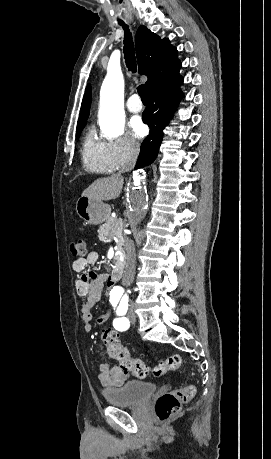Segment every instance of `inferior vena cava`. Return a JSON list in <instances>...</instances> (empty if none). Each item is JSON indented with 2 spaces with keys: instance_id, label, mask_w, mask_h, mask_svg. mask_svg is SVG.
I'll use <instances>...</instances> for the list:
<instances>
[{
  "instance_id": "1",
  "label": "inferior vena cava",
  "mask_w": 271,
  "mask_h": 459,
  "mask_svg": "<svg viewBox=\"0 0 271 459\" xmlns=\"http://www.w3.org/2000/svg\"><path fill=\"white\" fill-rule=\"evenodd\" d=\"M135 166V162H128V164H126V166H123V168H121L120 170V174H123V172H129V170H132V168H134ZM126 281H125V285H130L132 279L130 277V279H127V275H124Z\"/></svg>"
}]
</instances>
